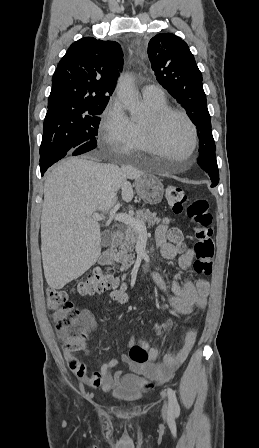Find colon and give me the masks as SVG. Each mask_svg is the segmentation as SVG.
Here are the masks:
<instances>
[{
    "instance_id": "5ec220e1",
    "label": "colon",
    "mask_w": 259,
    "mask_h": 448,
    "mask_svg": "<svg viewBox=\"0 0 259 448\" xmlns=\"http://www.w3.org/2000/svg\"><path fill=\"white\" fill-rule=\"evenodd\" d=\"M165 199L175 213L185 214L194 224L196 238L194 269L199 274L210 275L213 268L215 245L212 216L208 210L207 200L197 198L188 203L184 190L176 185L166 186ZM169 237L172 241L180 242L182 233L179 229L172 228ZM109 290L112 293L124 292L117 277L99 270L91 273L75 287V292L80 295H93ZM46 302L54 326L64 343V348L70 352L81 350L89 330L93 327L91 314L75 307L68 300L67 292L62 289H47ZM129 358L138 364L147 362L148 348L145 342L133 345L129 351Z\"/></svg>"
}]
</instances>
